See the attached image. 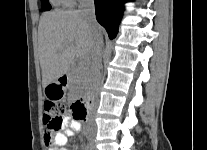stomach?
I'll return each instance as SVG.
<instances>
[{
    "mask_svg": "<svg viewBox=\"0 0 207 150\" xmlns=\"http://www.w3.org/2000/svg\"><path fill=\"white\" fill-rule=\"evenodd\" d=\"M66 93V88L62 85V83L57 80L52 82L44 87V95L47 98H51L53 100H59L64 98Z\"/></svg>",
    "mask_w": 207,
    "mask_h": 150,
    "instance_id": "1",
    "label": "stomach"
}]
</instances>
